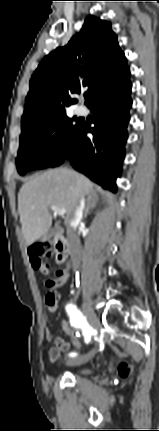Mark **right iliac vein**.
I'll list each match as a JSON object with an SVG mask.
<instances>
[{
    "label": "right iliac vein",
    "instance_id": "63e3f726",
    "mask_svg": "<svg viewBox=\"0 0 159 431\" xmlns=\"http://www.w3.org/2000/svg\"><path fill=\"white\" fill-rule=\"evenodd\" d=\"M82 310L89 324L97 330L99 326V320L96 314L94 313V311L90 308V306L86 302L82 303ZM94 354H95V350H92L84 356L69 360L68 363L71 365H80V364L86 363L94 356Z\"/></svg>",
    "mask_w": 159,
    "mask_h": 431
}]
</instances>
